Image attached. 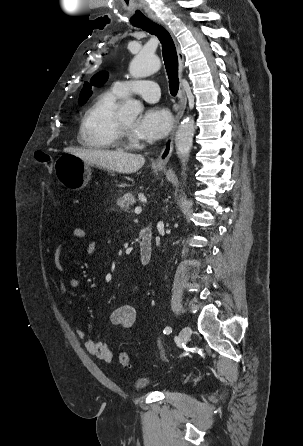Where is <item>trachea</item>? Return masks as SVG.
<instances>
[{
  "label": "trachea",
  "mask_w": 303,
  "mask_h": 446,
  "mask_svg": "<svg viewBox=\"0 0 303 446\" xmlns=\"http://www.w3.org/2000/svg\"><path fill=\"white\" fill-rule=\"evenodd\" d=\"M135 27H139L150 34L156 35L160 40L164 63L169 78L170 93L172 96H176L179 89L178 57L171 35L164 27L151 20L135 24Z\"/></svg>",
  "instance_id": "1"
}]
</instances>
